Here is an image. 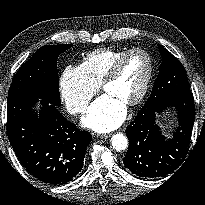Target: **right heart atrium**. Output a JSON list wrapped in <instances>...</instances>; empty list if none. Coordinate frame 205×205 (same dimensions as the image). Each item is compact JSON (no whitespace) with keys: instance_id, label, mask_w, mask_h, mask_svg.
I'll return each instance as SVG.
<instances>
[{"instance_id":"1","label":"right heart atrium","mask_w":205,"mask_h":205,"mask_svg":"<svg viewBox=\"0 0 205 205\" xmlns=\"http://www.w3.org/2000/svg\"><path fill=\"white\" fill-rule=\"evenodd\" d=\"M97 91L80 66L69 65L59 78V93L67 110L73 115L83 114Z\"/></svg>"}]
</instances>
